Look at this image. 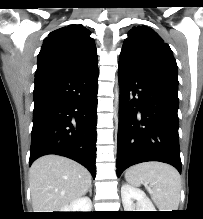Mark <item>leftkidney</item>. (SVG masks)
Instances as JSON below:
<instances>
[{
    "label": "left kidney",
    "mask_w": 203,
    "mask_h": 219,
    "mask_svg": "<svg viewBox=\"0 0 203 219\" xmlns=\"http://www.w3.org/2000/svg\"><path fill=\"white\" fill-rule=\"evenodd\" d=\"M121 198L125 211H156L146 194L129 184L122 185ZM134 200H136V203L133 202Z\"/></svg>",
    "instance_id": "obj_1"
}]
</instances>
